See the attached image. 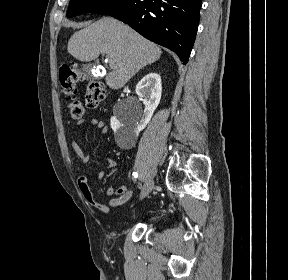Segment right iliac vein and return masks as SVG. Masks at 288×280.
Returning a JSON list of instances; mask_svg holds the SVG:
<instances>
[{
    "label": "right iliac vein",
    "mask_w": 288,
    "mask_h": 280,
    "mask_svg": "<svg viewBox=\"0 0 288 280\" xmlns=\"http://www.w3.org/2000/svg\"><path fill=\"white\" fill-rule=\"evenodd\" d=\"M153 186H154V182L152 179L146 180L140 192V200L145 198L151 192Z\"/></svg>",
    "instance_id": "obj_1"
}]
</instances>
